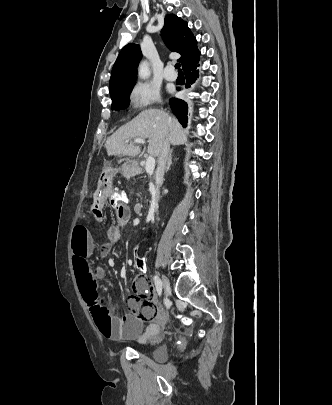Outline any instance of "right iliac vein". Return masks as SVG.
Masks as SVG:
<instances>
[{
    "label": "right iliac vein",
    "instance_id": "right-iliac-vein-1",
    "mask_svg": "<svg viewBox=\"0 0 332 405\" xmlns=\"http://www.w3.org/2000/svg\"><path fill=\"white\" fill-rule=\"evenodd\" d=\"M161 282H162V287H163L164 294L167 296L168 293L170 292V289H171L170 282L167 279V277H165V276H162Z\"/></svg>",
    "mask_w": 332,
    "mask_h": 405
}]
</instances>
